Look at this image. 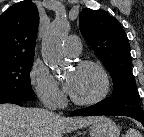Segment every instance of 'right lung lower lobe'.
Returning <instances> with one entry per match:
<instances>
[{"label": "right lung lower lobe", "instance_id": "right-lung-lower-lobe-1", "mask_svg": "<svg viewBox=\"0 0 144 137\" xmlns=\"http://www.w3.org/2000/svg\"><path fill=\"white\" fill-rule=\"evenodd\" d=\"M1 103H12V104H17V105H22L20 100L13 99V98H1L0 104Z\"/></svg>", "mask_w": 144, "mask_h": 137}]
</instances>
